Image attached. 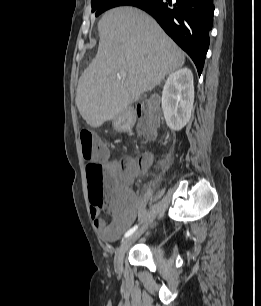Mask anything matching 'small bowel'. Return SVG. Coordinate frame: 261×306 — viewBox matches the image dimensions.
<instances>
[{
  "label": "small bowel",
  "instance_id": "obj_1",
  "mask_svg": "<svg viewBox=\"0 0 261 306\" xmlns=\"http://www.w3.org/2000/svg\"><path fill=\"white\" fill-rule=\"evenodd\" d=\"M152 155H145L140 163V168L145 170L152 163ZM116 178L114 182L115 190L124 191L125 195L114 198L108 210L112 216L111 221H106L101 217V210L97 207L90 208V214L100 238L107 243L117 241L126 229L136 219L140 200L131 191L130 186L134 180V171L137 164L133 159L127 158L115 163Z\"/></svg>",
  "mask_w": 261,
  "mask_h": 306
}]
</instances>
